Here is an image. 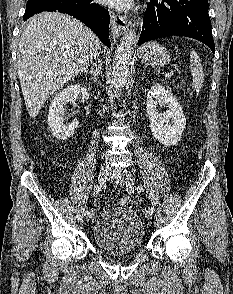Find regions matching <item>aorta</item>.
Returning a JSON list of instances; mask_svg holds the SVG:
<instances>
[{
  "label": "aorta",
  "instance_id": "aorta-1",
  "mask_svg": "<svg viewBox=\"0 0 233 294\" xmlns=\"http://www.w3.org/2000/svg\"><path fill=\"white\" fill-rule=\"evenodd\" d=\"M136 43L134 29L127 31L115 51L112 71V85L116 93H119L127 83L130 75V65Z\"/></svg>",
  "mask_w": 233,
  "mask_h": 294
}]
</instances>
